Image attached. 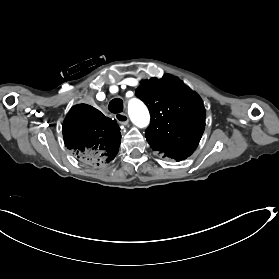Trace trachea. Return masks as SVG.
Returning <instances> with one entry per match:
<instances>
[{
	"mask_svg": "<svg viewBox=\"0 0 279 279\" xmlns=\"http://www.w3.org/2000/svg\"><path fill=\"white\" fill-rule=\"evenodd\" d=\"M123 108V101L120 98H114L108 105V109L111 113H120L123 111Z\"/></svg>",
	"mask_w": 279,
	"mask_h": 279,
	"instance_id": "obj_1",
	"label": "trachea"
}]
</instances>
